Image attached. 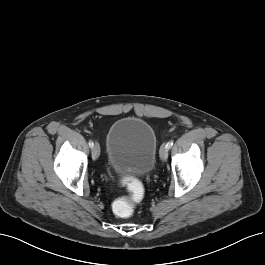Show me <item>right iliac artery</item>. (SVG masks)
<instances>
[{
  "label": "right iliac artery",
  "mask_w": 265,
  "mask_h": 265,
  "mask_svg": "<svg viewBox=\"0 0 265 265\" xmlns=\"http://www.w3.org/2000/svg\"><path fill=\"white\" fill-rule=\"evenodd\" d=\"M93 141L92 140H89V146L92 148L93 147Z\"/></svg>",
  "instance_id": "1"
}]
</instances>
